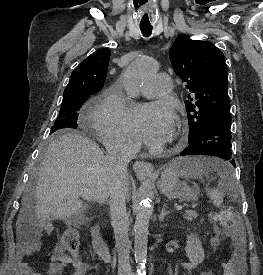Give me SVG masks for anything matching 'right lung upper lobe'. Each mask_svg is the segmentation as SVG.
<instances>
[{"label":"right lung upper lobe","mask_w":263,"mask_h":275,"mask_svg":"<svg viewBox=\"0 0 263 275\" xmlns=\"http://www.w3.org/2000/svg\"><path fill=\"white\" fill-rule=\"evenodd\" d=\"M110 58V50L103 48L95 51L74 69L63 97L78 93L93 94L104 84Z\"/></svg>","instance_id":"cb5924a9"}]
</instances>
